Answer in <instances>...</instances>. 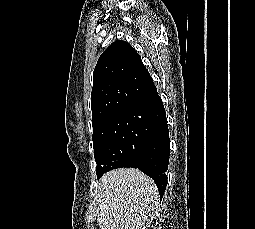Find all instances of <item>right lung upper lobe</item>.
Returning <instances> with one entry per match:
<instances>
[{"instance_id": "obj_1", "label": "right lung upper lobe", "mask_w": 255, "mask_h": 229, "mask_svg": "<svg viewBox=\"0 0 255 229\" xmlns=\"http://www.w3.org/2000/svg\"><path fill=\"white\" fill-rule=\"evenodd\" d=\"M141 56L126 41L113 42L99 57L93 73L92 126L156 93Z\"/></svg>"}]
</instances>
